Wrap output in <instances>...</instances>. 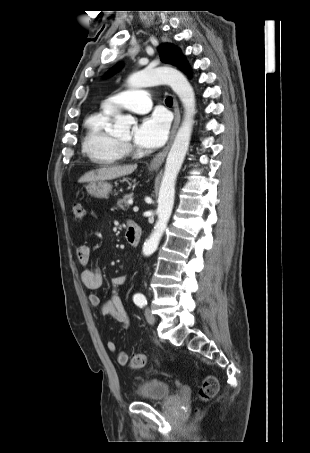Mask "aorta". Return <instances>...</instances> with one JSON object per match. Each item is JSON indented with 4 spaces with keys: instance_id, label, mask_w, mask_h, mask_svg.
Wrapping results in <instances>:
<instances>
[{
    "instance_id": "762f6f07",
    "label": "aorta",
    "mask_w": 310,
    "mask_h": 453,
    "mask_svg": "<svg viewBox=\"0 0 310 453\" xmlns=\"http://www.w3.org/2000/svg\"><path fill=\"white\" fill-rule=\"evenodd\" d=\"M127 83L131 88L148 87L160 83L168 84L178 95L184 107L183 122L166 159L158 197V220L150 238L143 246V254L149 256L156 251L172 213L176 179L191 139L195 114V94L187 78L180 71L171 67L146 68L130 75ZM115 119L113 132L118 135L129 133L130 126L134 122L133 117L118 114Z\"/></svg>"
}]
</instances>
